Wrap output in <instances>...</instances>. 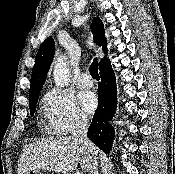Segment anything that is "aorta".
<instances>
[{"instance_id": "obj_1", "label": "aorta", "mask_w": 175, "mask_h": 174, "mask_svg": "<svg viewBox=\"0 0 175 174\" xmlns=\"http://www.w3.org/2000/svg\"><path fill=\"white\" fill-rule=\"evenodd\" d=\"M53 77L56 86L64 87L69 81V71L65 62V57H58L54 65Z\"/></svg>"}]
</instances>
